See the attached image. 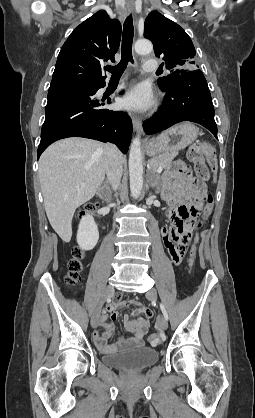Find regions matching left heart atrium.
I'll return each instance as SVG.
<instances>
[{"label":"left heart atrium","mask_w":255,"mask_h":418,"mask_svg":"<svg viewBox=\"0 0 255 418\" xmlns=\"http://www.w3.org/2000/svg\"><path fill=\"white\" fill-rule=\"evenodd\" d=\"M152 104V92L145 84L136 85L123 98V105L130 110L143 111Z\"/></svg>","instance_id":"obj_1"}]
</instances>
